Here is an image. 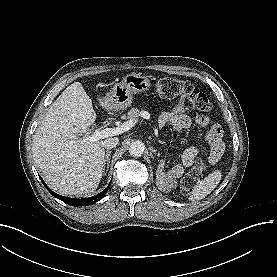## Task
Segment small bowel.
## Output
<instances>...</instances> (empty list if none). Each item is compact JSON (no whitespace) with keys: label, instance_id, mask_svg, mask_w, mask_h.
Wrapping results in <instances>:
<instances>
[{"label":"small bowel","instance_id":"obj_1","mask_svg":"<svg viewBox=\"0 0 277 277\" xmlns=\"http://www.w3.org/2000/svg\"><path fill=\"white\" fill-rule=\"evenodd\" d=\"M157 123L160 128L169 125L178 132L189 128L192 124L209 127L207 139L200 148L191 147L183 152L180 164L178 165L180 173L189 168L197 156L201 154L211 155L223 151L222 128L219 125L210 126V121L207 117H192L183 101H179L172 110L162 113L158 117Z\"/></svg>","mask_w":277,"mask_h":277}]
</instances>
